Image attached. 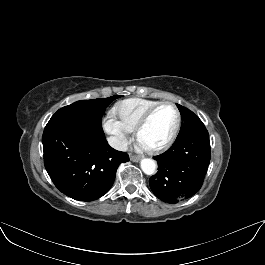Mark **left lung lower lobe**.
I'll return each mask as SVG.
<instances>
[{"label": "left lung lower lobe", "mask_w": 265, "mask_h": 265, "mask_svg": "<svg viewBox=\"0 0 265 265\" xmlns=\"http://www.w3.org/2000/svg\"><path fill=\"white\" fill-rule=\"evenodd\" d=\"M158 172L149 185L164 202L178 203L192 197L201 188L210 163V140L205 126L177 136L164 153L154 156Z\"/></svg>", "instance_id": "obj_1"}]
</instances>
